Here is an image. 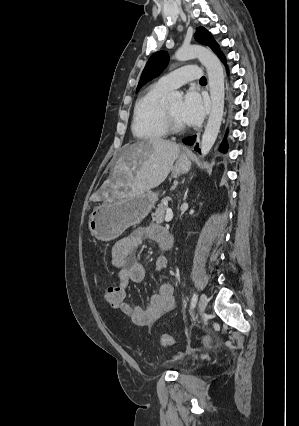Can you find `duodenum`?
Masks as SVG:
<instances>
[{
  "instance_id": "obj_1",
  "label": "duodenum",
  "mask_w": 299,
  "mask_h": 426,
  "mask_svg": "<svg viewBox=\"0 0 299 426\" xmlns=\"http://www.w3.org/2000/svg\"><path fill=\"white\" fill-rule=\"evenodd\" d=\"M172 245H173L172 235L167 230H164L162 234V239H161V246L164 249H170Z\"/></svg>"
}]
</instances>
